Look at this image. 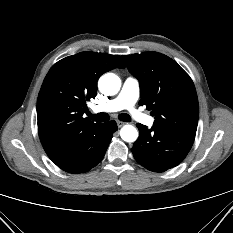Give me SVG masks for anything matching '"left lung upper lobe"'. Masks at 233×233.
Segmentation results:
<instances>
[{"mask_svg":"<svg viewBox=\"0 0 233 233\" xmlns=\"http://www.w3.org/2000/svg\"><path fill=\"white\" fill-rule=\"evenodd\" d=\"M140 82V105L155 116L154 126L195 133L199 105L193 81L171 58L157 52L122 56Z\"/></svg>","mask_w":233,"mask_h":233,"instance_id":"left-lung-upper-lobe-1","label":"left lung upper lobe"}]
</instances>
